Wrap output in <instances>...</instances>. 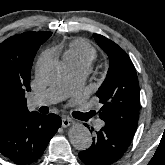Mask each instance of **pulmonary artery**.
Wrapping results in <instances>:
<instances>
[{
    "mask_svg": "<svg viewBox=\"0 0 165 165\" xmlns=\"http://www.w3.org/2000/svg\"><path fill=\"white\" fill-rule=\"evenodd\" d=\"M71 68L73 72V79L69 85L51 87L43 93L33 97L30 100L31 107L35 108L57 103L61 101L63 98H65L69 88L80 85L83 81V77L87 68L83 66H75ZM96 126L100 128L102 126V122L98 121Z\"/></svg>",
    "mask_w": 165,
    "mask_h": 165,
    "instance_id": "obj_1",
    "label": "pulmonary artery"
}]
</instances>
